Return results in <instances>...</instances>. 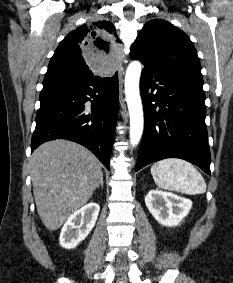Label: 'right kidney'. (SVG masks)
<instances>
[{"instance_id":"obj_1","label":"right kidney","mask_w":233,"mask_h":283,"mask_svg":"<svg viewBox=\"0 0 233 283\" xmlns=\"http://www.w3.org/2000/svg\"><path fill=\"white\" fill-rule=\"evenodd\" d=\"M100 207L91 202L72 214L60 233V244L65 249L75 248L93 229Z\"/></svg>"}]
</instances>
